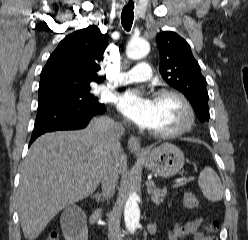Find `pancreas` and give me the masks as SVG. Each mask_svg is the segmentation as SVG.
<instances>
[{"label":"pancreas","mask_w":248,"mask_h":240,"mask_svg":"<svg viewBox=\"0 0 248 240\" xmlns=\"http://www.w3.org/2000/svg\"><path fill=\"white\" fill-rule=\"evenodd\" d=\"M148 193L151 196V200L156 204H159L160 202H163V198L166 195V190L162 191L159 188H156L155 185H152L148 186Z\"/></svg>","instance_id":"cf45deb5"}]
</instances>
